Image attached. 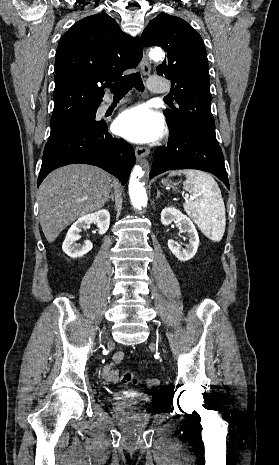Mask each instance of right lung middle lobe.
Here are the masks:
<instances>
[{"label": "right lung middle lobe", "instance_id": "1", "mask_svg": "<svg viewBox=\"0 0 279 465\" xmlns=\"http://www.w3.org/2000/svg\"><path fill=\"white\" fill-rule=\"evenodd\" d=\"M96 111H87L69 121L51 126V133L47 144L45 145L44 153L51 151L54 147L66 140L68 137L85 130L91 126H98L102 121L95 120Z\"/></svg>", "mask_w": 279, "mask_h": 465}]
</instances>
